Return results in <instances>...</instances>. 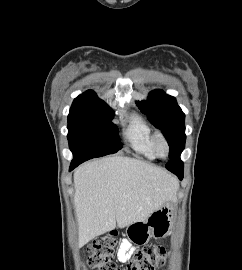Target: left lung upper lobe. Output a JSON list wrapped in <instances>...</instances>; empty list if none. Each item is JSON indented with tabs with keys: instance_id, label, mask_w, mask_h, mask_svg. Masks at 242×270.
Wrapping results in <instances>:
<instances>
[{
	"instance_id": "5c2ea615",
	"label": "left lung upper lobe",
	"mask_w": 242,
	"mask_h": 270,
	"mask_svg": "<svg viewBox=\"0 0 242 270\" xmlns=\"http://www.w3.org/2000/svg\"><path fill=\"white\" fill-rule=\"evenodd\" d=\"M141 111L147 114L151 123L165 135L170 146V160L166 168L174 174H183L181 152L185 146V114L177 105L176 99L162 90L149 93L147 101L137 102Z\"/></svg>"
}]
</instances>
